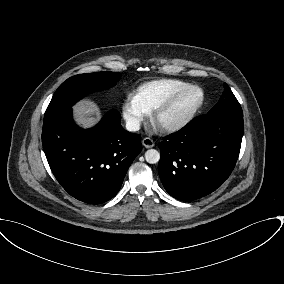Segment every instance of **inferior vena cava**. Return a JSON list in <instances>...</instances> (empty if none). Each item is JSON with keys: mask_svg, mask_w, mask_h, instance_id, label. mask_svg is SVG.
Listing matches in <instances>:
<instances>
[{"mask_svg": "<svg viewBox=\"0 0 284 284\" xmlns=\"http://www.w3.org/2000/svg\"><path fill=\"white\" fill-rule=\"evenodd\" d=\"M126 129L128 131H138L140 129V123L137 120H128L126 122Z\"/></svg>", "mask_w": 284, "mask_h": 284, "instance_id": "602c4592", "label": "inferior vena cava"}]
</instances>
